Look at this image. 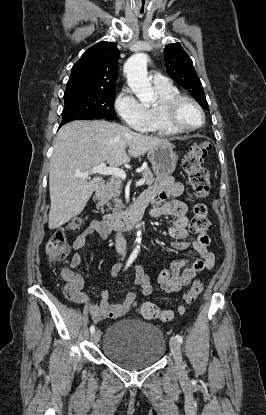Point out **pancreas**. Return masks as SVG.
Returning <instances> with one entry per match:
<instances>
[{
    "label": "pancreas",
    "instance_id": "obj_1",
    "mask_svg": "<svg viewBox=\"0 0 266 415\" xmlns=\"http://www.w3.org/2000/svg\"><path fill=\"white\" fill-rule=\"evenodd\" d=\"M142 177L145 179L146 185H152L154 183V176L151 170L146 167L142 172ZM122 192V179L119 177H112L102 191L96 196L98 203L97 208L104 212V206L107 207V211L113 213L121 212L124 208L122 200L119 198Z\"/></svg>",
    "mask_w": 266,
    "mask_h": 415
}]
</instances>
